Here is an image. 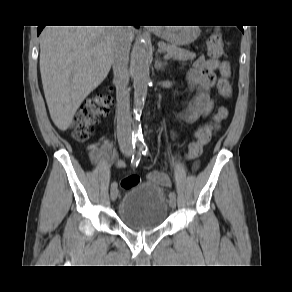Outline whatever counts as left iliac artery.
<instances>
[{
  "instance_id": "44dca946",
  "label": "left iliac artery",
  "mask_w": 292,
  "mask_h": 292,
  "mask_svg": "<svg viewBox=\"0 0 292 292\" xmlns=\"http://www.w3.org/2000/svg\"><path fill=\"white\" fill-rule=\"evenodd\" d=\"M141 150H142V154L143 155H147L148 154V147L146 145L142 146ZM169 198L170 199H176V194H175L174 191L169 193Z\"/></svg>"
}]
</instances>
